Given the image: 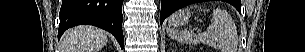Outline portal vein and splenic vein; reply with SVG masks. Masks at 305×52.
<instances>
[{"mask_svg":"<svg viewBox=\"0 0 305 52\" xmlns=\"http://www.w3.org/2000/svg\"><path fill=\"white\" fill-rule=\"evenodd\" d=\"M196 31H197V32H200L201 30H200V29H196Z\"/></svg>","mask_w":305,"mask_h":52,"instance_id":"portal-vein-and-splenic-vein-1","label":"portal vein and splenic vein"}]
</instances>
